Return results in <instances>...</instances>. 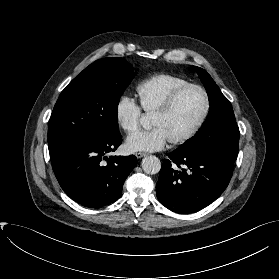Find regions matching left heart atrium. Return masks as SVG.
<instances>
[{
    "label": "left heart atrium",
    "instance_id": "39dd6f15",
    "mask_svg": "<svg viewBox=\"0 0 279 279\" xmlns=\"http://www.w3.org/2000/svg\"><path fill=\"white\" fill-rule=\"evenodd\" d=\"M169 141L168 136L160 127H154L129 136L126 147L131 152H155L165 148Z\"/></svg>",
    "mask_w": 279,
    "mask_h": 279
}]
</instances>
